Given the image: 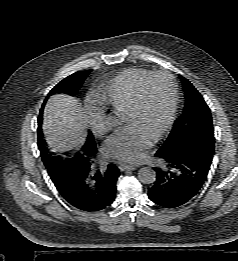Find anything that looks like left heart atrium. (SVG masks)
<instances>
[{
  "instance_id": "39dd6f15",
  "label": "left heart atrium",
  "mask_w": 238,
  "mask_h": 261,
  "mask_svg": "<svg viewBox=\"0 0 238 261\" xmlns=\"http://www.w3.org/2000/svg\"><path fill=\"white\" fill-rule=\"evenodd\" d=\"M150 136L138 126H130L108 138L105 144L106 153L115 159L138 163L145 151L153 144Z\"/></svg>"
}]
</instances>
